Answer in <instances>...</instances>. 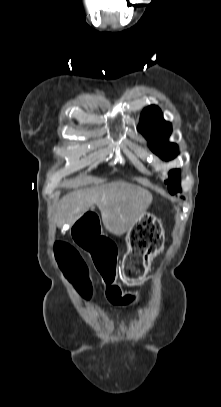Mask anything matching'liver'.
Segmentation results:
<instances>
[{
    "instance_id": "obj_1",
    "label": "liver",
    "mask_w": 221,
    "mask_h": 407,
    "mask_svg": "<svg viewBox=\"0 0 221 407\" xmlns=\"http://www.w3.org/2000/svg\"><path fill=\"white\" fill-rule=\"evenodd\" d=\"M152 194L125 182L77 190L61 200L60 217L73 225L90 207L97 205L106 230L120 236L127 232L152 203Z\"/></svg>"
}]
</instances>
